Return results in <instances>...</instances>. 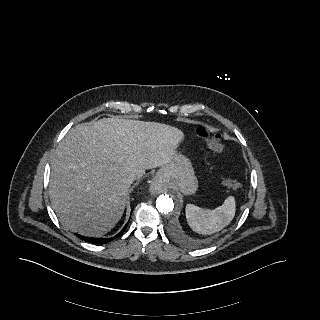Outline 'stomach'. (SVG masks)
I'll list each match as a JSON object with an SVG mask.
<instances>
[{
	"label": "stomach",
	"instance_id": "stomach-1",
	"mask_svg": "<svg viewBox=\"0 0 320 320\" xmlns=\"http://www.w3.org/2000/svg\"><path fill=\"white\" fill-rule=\"evenodd\" d=\"M162 183L178 189L185 195L194 194L198 188L192 164L184 155L175 153L172 159L157 172Z\"/></svg>",
	"mask_w": 320,
	"mask_h": 320
}]
</instances>
